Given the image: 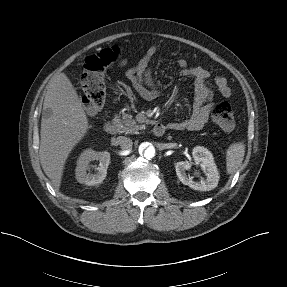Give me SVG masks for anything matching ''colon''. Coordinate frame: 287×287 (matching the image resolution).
Segmentation results:
<instances>
[{
    "label": "colon",
    "instance_id": "colon-1",
    "mask_svg": "<svg viewBox=\"0 0 287 287\" xmlns=\"http://www.w3.org/2000/svg\"><path fill=\"white\" fill-rule=\"evenodd\" d=\"M119 57L120 50L117 47H110L86 58L81 79V100L88 113L95 114L104 106L106 98L104 75L106 69ZM212 119L223 130L230 131L234 128V114L228 102H219L213 106Z\"/></svg>",
    "mask_w": 287,
    "mask_h": 287
}]
</instances>
